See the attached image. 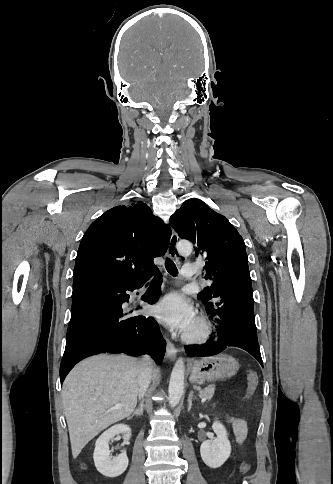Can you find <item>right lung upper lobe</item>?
Instances as JSON below:
<instances>
[{
    "label": "right lung upper lobe",
    "mask_w": 333,
    "mask_h": 484,
    "mask_svg": "<svg viewBox=\"0 0 333 484\" xmlns=\"http://www.w3.org/2000/svg\"><path fill=\"white\" fill-rule=\"evenodd\" d=\"M170 228L143 202L114 207L85 232L76 257L73 286L91 282L131 285L155 269L164 255Z\"/></svg>",
    "instance_id": "1"
}]
</instances>
